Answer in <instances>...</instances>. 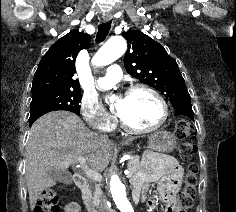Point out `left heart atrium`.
Returning a JSON list of instances; mask_svg holds the SVG:
<instances>
[{"mask_svg":"<svg viewBox=\"0 0 236 212\" xmlns=\"http://www.w3.org/2000/svg\"><path fill=\"white\" fill-rule=\"evenodd\" d=\"M119 99H121V98H119ZM117 110L119 111V108H118V106H117Z\"/></svg>","mask_w":236,"mask_h":212,"instance_id":"left-heart-atrium-1","label":"left heart atrium"}]
</instances>
